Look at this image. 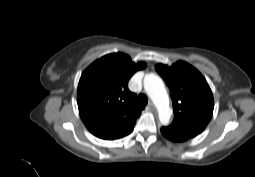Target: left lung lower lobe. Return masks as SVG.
<instances>
[{
    "mask_svg": "<svg viewBox=\"0 0 255 177\" xmlns=\"http://www.w3.org/2000/svg\"><path fill=\"white\" fill-rule=\"evenodd\" d=\"M161 133L164 137L168 138L169 140H172L174 142H177L174 138L170 137L166 132L161 128Z\"/></svg>",
    "mask_w": 255,
    "mask_h": 177,
    "instance_id": "0a47b994",
    "label": "left lung lower lobe"
}]
</instances>
